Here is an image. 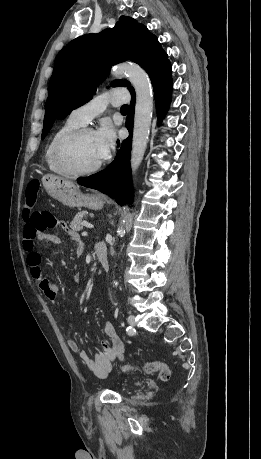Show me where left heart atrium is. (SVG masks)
I'll return each instance as SVG.
<instances>
[{"label":"left heart atrium","mask_w":261,"mask_h":459,"mask_svg":"<svg viewBox=\"0 0 261 459\" xmlns=\"http://www.w3.org/2000/svg\"><path fill=\"white\" fill-rule=\"evenodd\" d=\"M93 134L99 149L100 158L101 160H105L115 145L116 137L114 129L109 123L104 122Z\"/></svg>","instance_id":"obj_1"}]
</instances>
